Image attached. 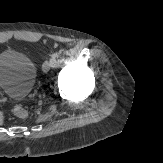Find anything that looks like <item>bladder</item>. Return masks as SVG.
I'll list each match as a JSON object with an SVG mask.
<instances>
[{"label":"bladder","mask_w":163,"mask_h":163,"mask_svg":"<svg viewBox=\"0 0 163 163\" xmlns=\"http://www.w3.org/2000/svg\"><path fill=\"white\" fill-rule=\"evenodd\" d=\"M37 75L35 63L17 50L0 52V91L22 99L32 91Z\"/></svg>","instance_id":"bladder-1"}]
</instances>
